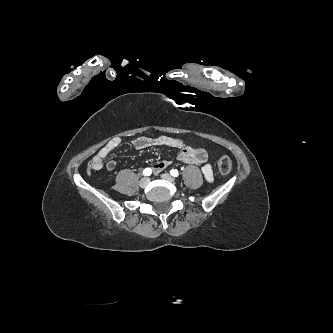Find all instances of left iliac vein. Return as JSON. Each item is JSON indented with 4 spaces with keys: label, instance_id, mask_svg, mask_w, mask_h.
<instances>
[{
    "label": "left iliac vein",
    "instance_id": "left-iliac-vein-1",
    "mask_svg": "<svg viewBox=\"0 0 333 333\" xmlns=\"http://www.w3.org/2000/svg\"><path fill=\"white\" fill-rule=\"evenodd\" d=\"M161 178L166 180V181H169V182H174L175 181V178L172 177L171 175H169L168 173H163L161 175Z\"/></svg>",
    "mask_w": 333,
    "mask_h": 333
}]
</instances>
